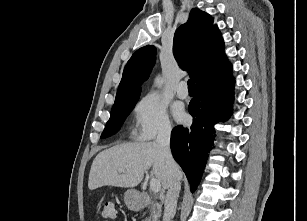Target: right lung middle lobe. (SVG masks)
<instances>
[{"label": "right lung middle lobe", "instance_id": "obj_1", "mask_svg": "<svg viewBox=\"0 0 307 221\" xmlns=\"http://www.w3.org/2000/svg\"><path fill=\"white\" fill-rule=\"evenodd\" d=\"M139 96L140 94L114 103L111 110L110 119L106 123L101 138H107L118 131L126 117L134 108Z\"/></svg>", "mask_w": 307, "mask_h": 221}]
</instances>
